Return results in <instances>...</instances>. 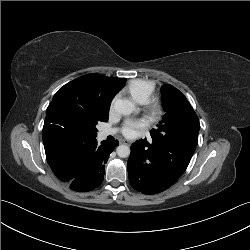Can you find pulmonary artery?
Returning a JSON list of instances; mask_svg holds the SVG:
<instances>
[{"label":"pulmonary artery","instance_id":"obj_1","mask_svg":"<svg viewBox=\"0 0 250 250\" xmlns=\"http://www.w3.org/2000/svg\"><path fill=\"white\" fill-rule=\"evenodd\" d=\"M116 133V129L114 128H107V129H103L101 132H100V136L101 138H106L110 135H113Z\"/></svg>","mask_w":250,"mask_h":250}]
</instances>
